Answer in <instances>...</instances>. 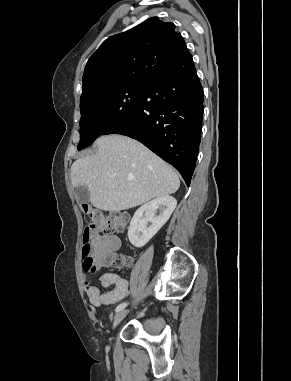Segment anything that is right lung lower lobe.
<instances>
[{"instance_id": "98d812e1", "label": "right lung lower lobe", "mask_w": 291, "mask_h": 381, "mask_svg": "<svg viewBox=\"0 0 291 381\" xmlns=\"http://www.w3.org/2000/svg\"><path fill=\"white\" fill-rule=\"evenodd\" d=\"M203 89L184 50L146 82L134 114L105 134L134 138L173 165L189 186L201 140Z\"/></svg>"}]
</instances>
